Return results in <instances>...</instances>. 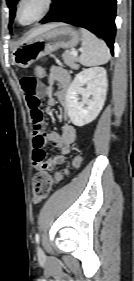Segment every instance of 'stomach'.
I'll list each match as a JSON object with an SVG mask.
<instances>
[{
  "label": "stomach",
  "instance_id": "stomach-1",
  "mask_svg": "<svg viewBox=\"0 0 134 281\" xmlns=\"http://www.w3.org/2000/svg\"><path fill=\"white\" fill-rule=\"evenodd\" d=\"M81 39L79 31L65 24H56L51 29L22 43L12 51V62L21 68H28L39 58L59 48L75 47Z\"/></svg>",
  "mask_w": 134,
  "mask_h": 281
}]
</instances>
